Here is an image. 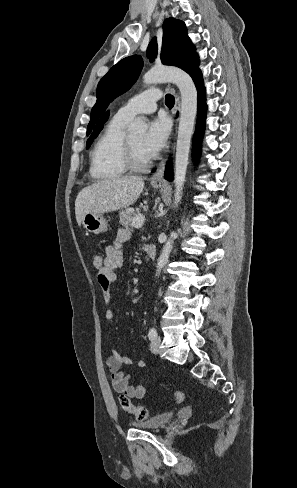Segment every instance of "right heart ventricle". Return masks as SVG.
<instances>
[{"instance_id": "obj_1", "label": "right heart ventricle", "mask_w": 297, "mask_h": 488, "mask_svg": "<svg viewBox=\"0 0 297 488\" xmlns=\"http://www.w3.org/2000/svg\"><path fill=\"white\" fill-rule=\"evenodd\" d=\"M128 120L116 114L96 139L90 163V174L95 180H115L127 172L124 163V126Z\"/></svg>"}]
</instances>
